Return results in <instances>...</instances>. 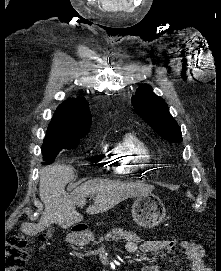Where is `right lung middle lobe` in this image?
<instances>
[{
	"instance_id": "dd1d6c3e",
	"label": "right lung middle lobe",
	"mask_w": 221,
	"mask_h": 271,
	"mask_svg": "<svg viewBox=\"0 0 221 271\" xmlns=\"http://www.w3.org/2000/svg\"><path fill=\"white\" fill-rule=\"evenodd\" d=\"M78 138H54L46 137L42 146L43 160L42 165L51 164L54 162L58 153L63 149H75L79 140Z\"/></svg>"
}]
</instances>
